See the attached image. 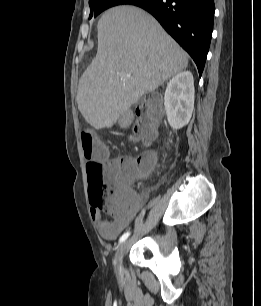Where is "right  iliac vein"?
I'll use <instances>...</instances> for the list:
<instances>
[{
	"label": "right iliac vein",
	"instance_id": "1",
	"mask_svg": "<svg viewBox=\"0 0 261 306\" xmlns=\"http://www.w3.org/2000/svg\"><path fill=\"white\" fill-rule=\"evenodd\" d=\"M129 240H126L120 244L118 247L116 254H115V263H116V269L119 270L121 269V264L123 260L124 253L128 247Z\"/></svg>",
	"mask_w": 261,
	"mask_h": 306
}]
</instances>
